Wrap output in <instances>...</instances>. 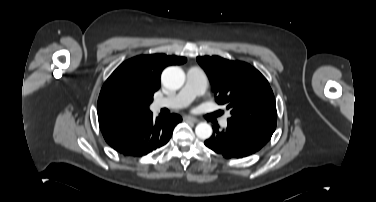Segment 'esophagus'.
<instances>
[{"label":"esophagus","instance_id":"esophagus-1","mask_svg":"<svg viewBox=\"0 0 376 202\" xmlns=\"http://www.w3.org/2000/svg\"><path fill=\"white\" fill-rule=\"evenodd\" d=\"M185 119L188 120V121H191L193 123L199 122V120L197 118H194L192 116H186Z\"/></svg>","mask_w":376,"mask_h":202}]
</instances>
